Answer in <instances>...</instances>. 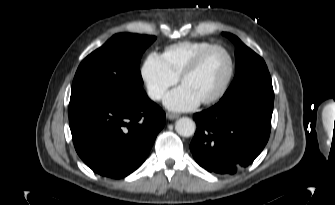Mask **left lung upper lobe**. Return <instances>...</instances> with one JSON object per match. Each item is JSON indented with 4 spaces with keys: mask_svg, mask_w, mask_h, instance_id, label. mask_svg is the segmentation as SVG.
Wrapping results in <instances>:
<instances>
[{
    "mask_svg": "<svg viewBox=\"0 0 335 205\" xmlns=\"http://www.w3.org/2000/svg\"><path fill=\"white\" fill-rule=\"evenodd\" d=\"M223 35L236 47V75L221 100L243 93H255L274 99L270 73L264 60L235 35L226 32Z\"/></svg>",
    "mask_w": 335,
    "mask_h": 205,
    "instance_id": "1",
    "label": "left lung upper lobe"
}]
</instances>
